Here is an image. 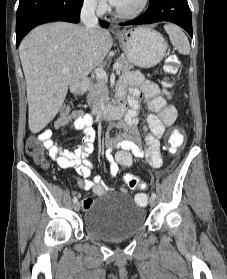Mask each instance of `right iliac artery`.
Returning <instances> with one entry per match:
<instances>
[{
	"instance_id": "82829eb1",
	"label": "right iliac artery",
	"mask_w": 227,
	"mask_h": 279,
	"mask_svg": "<svg viewBox=\"0 0 227 279\" xmlns=\"http://www.w3.org/2000/svg\"><path fill=\"white\" fill-rule=\"evenodd\" d=\"M78 201L77 197L73 198V202L76 203Z\"/></svg>"
}]
</instances>
